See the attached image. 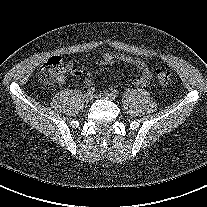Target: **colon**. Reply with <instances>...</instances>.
<instances>
[{
	"instance_id": "1",
	"label": "colon",
	"mask_w": 207,
	"mask_h": 207,
	"mask_svg": "<svg viewBox=\"0 0 207 207\" xmlns=\"http://www.w3.org/2000/svg\"><path fill=\"white\" fill-rule=\"evenodd\" d=\"M66 68L67 65L61 57L53 56L41 67L39 79L44 84H54L64 74ZM155 75L161 84H168L171 81V74L165 69H156Z\"/></svg>"
}]
</instances>
